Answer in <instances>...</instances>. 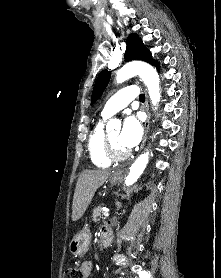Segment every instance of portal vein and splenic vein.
I'll use <instances>...</instances> for the list:
<instances>
[{"instance_id":"obj_1","label":"portal vein and splenic vein","mask_w":221,"mask_h":278,"mask_svg":"<svg viewBox=\"0 0 221 278\" xmlns=\"http://www.w3.org/2000/svg\"><path fill=\"white\" fill-rule=\"evenodd\" d=\"M103 214H104V216L108 217L109 216V211L105 210Z\"/></svg>"}]
</instances>
